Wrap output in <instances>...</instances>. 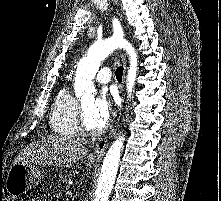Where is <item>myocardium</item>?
Instances as JSON below:
<instances>
[{"instance_id": "1", "label": "myocardium", "mask_w": 221, "mask_h": 201, "mask_svg": "<svg viewBox=\"0 0 221 201\" xmlns=\"http://www.w3.org/2000/svg\"><path fill=\"white\" fill-rule=\"evenodd\" d=\"M77 126L79 132L86 136H97L102 134L107 129L106 123L96 129L89 127L86 122L84 110L81 104L78 105V110H77Z\"/></svg>"}]
</instances>
